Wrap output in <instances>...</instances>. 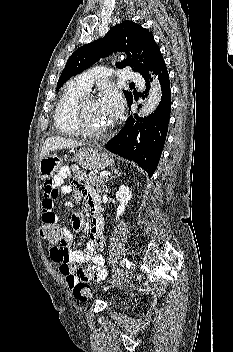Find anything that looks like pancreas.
Returning a JSON list of instances; mask_svg holds the SVG:
<instances>
[{"label": "pancreas", "instance_id": "1", "mask_svg": "<svg viewBox=\"0 0 233 352\" xmlns=\"http://www.w3.org/2000/svg\"><path fill=\"white\" fill-rule=\"evenodd\" d=\"M71 168H72L75 179H78L80 181H84L88 184H92L97 187H99L100 185L103 186L104 180H105L104 177H99L97 175L87 174V173L83 172L82 170H80L77 167V165H72Z\"/></svg>", "mask_w": 233, "mask_h": 352}]
</instances>
